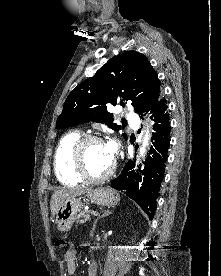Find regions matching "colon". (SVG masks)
Returning a JSON list of instances; mask_svg holds the SVG:
<instances>
[{"label": "colon", "mask_w": 221, "mask_h": 276, "mask_svg": "<svg viewBox=\"0 0 221 276\" xmlns=\"http://www.w3.org/2000/svg\"><path fill=\"white\" fill-rule=\"evenodd\" d=\"M55 246L60 247V248L69 247V243L65 239H58L55 242Z\"/></svg>", "instance_id": "1"}]
</instances>
